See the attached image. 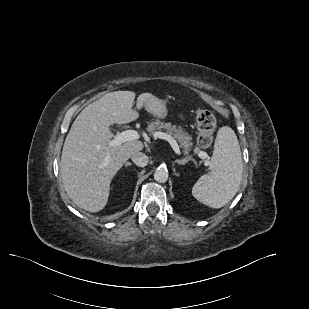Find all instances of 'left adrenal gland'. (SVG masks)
Returning <instances> with one entry per match:
<instances>
[{"instance_id": "left-adrenal-gland-1", "label": "left adrenal gland", "mask_w": 309, "mask_h": 309, "mask_svg": "<svg viewBox=\"0 0 309 309\" xmlns=\"http://www.w3.org/2000/svg\"><path fill=\"white\" fill-rule=\"evenodd\" d=\"M192 159L190 157H185L181 160H175L176 163L180 164V165H185L186 163H188V161H191Z\"/></svg>"}]
</instances>
